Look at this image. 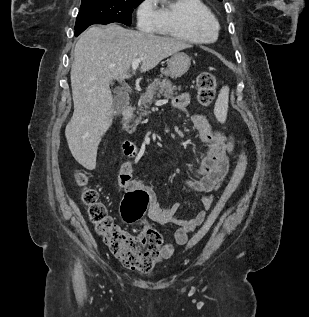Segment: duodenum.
<instances>
[{
  "mask_svg": "<svg viewBox=\"0 0 309 317\" xmlns=\"http://www.w3.org/2000/svg\"><path fill=\"white\" fill-rule=\"evenodd\" d=\"M133 111H134L133 106L130 105V106L125 107L122 111L123 118L125 120L130 119L133 115ZM123 149L127 155H134L137 153L136 147L130 141H125L123 143Z\"/></svg>",
  "mask_w": 309,
  "mask_h": 317,
  "instance_id": "1",
  "label": "duodenum"
}]
</instances>
